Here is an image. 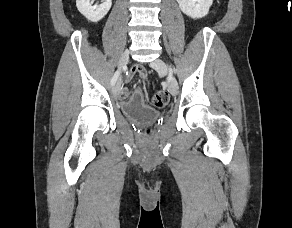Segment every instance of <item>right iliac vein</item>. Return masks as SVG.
Returning a JSON list of instances; mask_svg holds the SVG:
<instances>
[{
	"label": "right iliac vein",
	"instance_id": "obj_1",
	"mask_svg": "<svg viewBox=\"0 0 292 228\" xmlns=\"http://www.w3.org/2000/svg\"><path fill=\"white\" fill-rule=\"evenodd\" d=\"M129 61V52L125 51L122 56L119 59V69H123L124 67H126L127 63ZM121 90V80L119 79L117 81V83L114 85V87L112 88V93L114 96H117L120 93Z\"/></svg>",
	"mask_w": 292,
	"mask_h": 228
}]
</instances>
